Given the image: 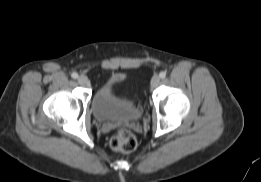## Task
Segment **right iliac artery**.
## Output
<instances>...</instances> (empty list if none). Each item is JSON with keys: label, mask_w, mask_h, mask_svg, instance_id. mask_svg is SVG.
<instances>
[{"label": "right iliac artery", "mask_w": 261, "mask_h": 182, "mask_svg": "<svg viewBox=\"0 0 261 182\" xmlns=\"http://www.w3.org/2000/svg\"><path fill=\"white\" fill-rule=\"evenodd\" d=\"M71 77L74 78V79H77L78 78V74L76 72H73L71 74Z\"/></svg>", "instance_id": "1"}]
</instances>
